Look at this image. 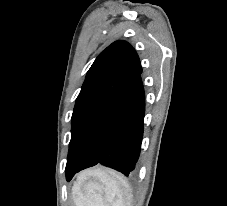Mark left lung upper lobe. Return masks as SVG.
I'll use <instances>...</instances> for the list:
<instances>
[{
  "mask_svg": "<svg viewBox=\"0 0 227 206\" xmlns=\"http://www.w3.org/2000/svg\"><path fill=\"white\" fill-rule=\"evenodd\" d=\"M141 72L139 57L126 41H115L98 55L76 99L66 170L84 157L98 121L111 100Z\"/></svg>",
  "mask_w": 227,
  "mask_h": 206,
  "instance_id": "left-lung-upper-lobe-1",
  "label": "left lung upper lobe"
}]
</instances>
